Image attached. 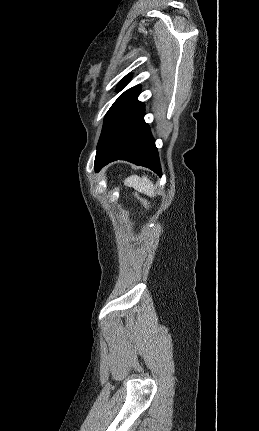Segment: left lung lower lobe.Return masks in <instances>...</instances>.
I'll list each match as a JSON object with an SVG mask.
<instances>
[{"label": "left lung lower lobe", "instance_id": "obj_1", "mask_svg": "<svg viewBox=\"0 0 259 431\" xmlns=\"http://www.w3.org/2000/svg\"><path fill=\"white\" fill-rule=\"evenodd\" d=\"M142 103L129 113L111 132L96 152L95 171L115 160H126L153 170L161 177V167L155 140L144 121Z\"/></svg>", "mask_w": 259, "mask_h": 431}]
</instances>
